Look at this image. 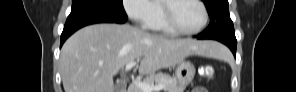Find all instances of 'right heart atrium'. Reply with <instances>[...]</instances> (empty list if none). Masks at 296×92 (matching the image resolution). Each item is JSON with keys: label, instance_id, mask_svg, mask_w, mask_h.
<instances>
[{"label": "right heart atrium", "instance_id": "1", "mask_svg": "<svg viewBox=\"0 0 296 92\" xmlns=\"http://www.w3.org/2000/svg\"><path fill=\"white\" fill-rule=\"evenodd\" d=\"M124 9L129 18L142 26H147L156 16L155 1L150 0H126Z\"/></svg>", "mask_w": 296, "mask_h": 92}]
</instances>
